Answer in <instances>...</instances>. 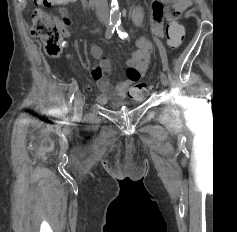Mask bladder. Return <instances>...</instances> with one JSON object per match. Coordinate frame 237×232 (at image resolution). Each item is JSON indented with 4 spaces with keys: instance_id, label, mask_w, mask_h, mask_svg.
Returning <instances> with one entry per match:
<instances>
[{
    "instance_id": "obj_1",
    "label": "bladder",
    "mask_w": 237,
    "mask_h": 232,
    "mask_svg": "<svg viewBox=\"0 0 237 232\" xmlns=\"http://www.w3.org/2000/svg\"><path fill=\"white\" fill-rule=\"evenodd\" d=\"M124 105V103H121V104H116V106H123Z\"/></svg>"
}]
</instances>
